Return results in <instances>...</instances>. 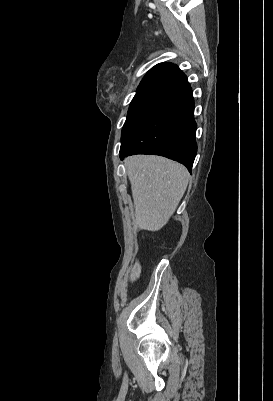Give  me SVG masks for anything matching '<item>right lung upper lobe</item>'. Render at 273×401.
Wrapping results in <instances>:
<instances>
[{
	"label": "right lung upper lobe",
	"instance_id": "cb5924a9",
	"mask_svg": "<svg viewBox=\"0 0 273 401\" xmlns=\"http://www.w3.org/2000/svg\"><path fill=\"white\" fill-rule=\"evenodd\" d=\"M189 86L186 76L176 65L160 63L147 72L140 82L135 96L172 97Z\"/></svg>",
	"mask_w": 273,
	"mask_h": 401
}]
</instances>
